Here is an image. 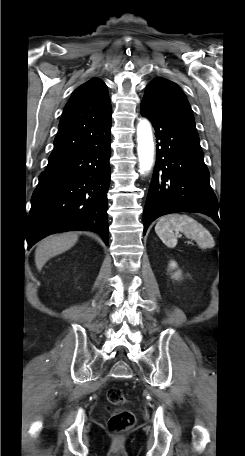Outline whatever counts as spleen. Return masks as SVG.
Instances as JSON below:
<instances>
[{
  "instance_id": "3e777b00",
  "label": "spleen",
  "mask_w": 245,
  "mask_h": 456,
  "mask_svg": "<svg viewBox=\"0 0 245 456\" xmlns=\"http://www.w3.org/2000/svg\"><path fill=\"white\" fill-rule=\"evenodd\" d=\"M155 232L168 247L177 245L176 234L183 233L187 238L195 240L200 247L214 245L209 231L188 215L173 214L161 217L155 226Z\"/></svg>"
}]
</instances>
